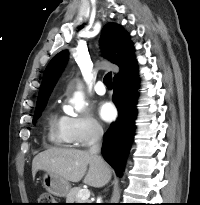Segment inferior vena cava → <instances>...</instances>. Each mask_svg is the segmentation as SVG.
Here are the masks:
<instances>
[{
  "label": "inferior vena cava",
  "mask_w": 200,
  "mask_h": 205,
  "mask_svg": "<svg viewBox=\"0 0 200 205\" xmlns=\"http://www.w3.org/2000/svg\"><path fill=\"white\" fill-rule=\"evenodd\" d=\"M103 128L99 124H94L91 130V139L89 141V153L99 156L102 147Z\"/></svg>",
  "instance_id": "602c4592"
}]
</instances>
